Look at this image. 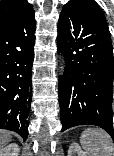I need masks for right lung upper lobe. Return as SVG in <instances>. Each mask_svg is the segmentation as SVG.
I'll return each instance as SVG.
<instances>
[{
	"instance_id": "1",
	"label": "right lung upper lobe",
	"mask_w": 114,
	"mask_h": 156,
	"mask_svg": "<svg viewBox=\"0 0 114 156\" xmlns=\"http://www.w3.org/2000/svg\"><path fill=\"white\" fill-rule=\"evenodd\" d=\"M33 10L32 5L26 0H1L0 1V26Z\"/></svg>"
}]
</instances>
